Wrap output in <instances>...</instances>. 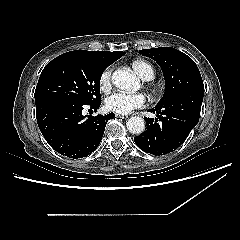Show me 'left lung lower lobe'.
<instances>
[{"label":"left lung lower lobe","mask_w":240,"mask_h":240,"mask_svg":"<svg viewBox=\"0 0 240 240\" xmlns=\"http://www.w3.org/2000/svg\"><path fill=\"white\" fill-rule=\"evenodd\" d=\"M204 88L180 93L150 112L158 118L146 120V129L134 137L136 145L146 153L164 155L176 150L198 123Z\"/></svg>","instance_id":"1"}]
</instances>
